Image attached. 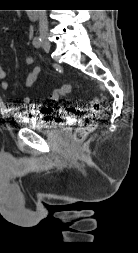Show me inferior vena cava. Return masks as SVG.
<instances>
[{
  "label": "inferior vena cava",
  "instance_id": "obj_1",
  "mask_svg": "<svg viewBox=\"0 0 138 253\" xmlns=\"http://www.w3.org/2000/svg\"><path fill=\"white\" fill-rule=\"evenodd\" d=\"M39 32L42 39L48 37V21L46 16V10H39Z\"/></svg>",
  "mask_w": 138,
  "mask_h": 253
}]
</instances>
